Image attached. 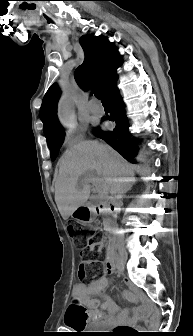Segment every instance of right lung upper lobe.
<instances>
[{
  "label": "right lung upper lobe",
  "instance_id": "1",
  "mask_svg": "<svg viewBox=\"0 0 193 336\" xmlns=\"http://www.w3.org/2000/svg\"><path fill=\"white\" fill-rule=\"evenodd\" d=\"M80 44L85 53V60L76 69L75 80L84 91L94 86V90L99 89L105 94L109 85L116 78V70L121 64V56L113 43L101 36L84 35L80 38ZM60 95L61 91L55 83L48 89L42 101L40 117L44 124L43 131L47 142L64 133L56 118Z\"/></svg>",
  "mask_w": 193,
  "mask_h": 336
}]
</instances>
